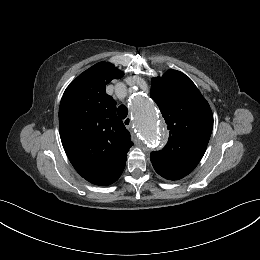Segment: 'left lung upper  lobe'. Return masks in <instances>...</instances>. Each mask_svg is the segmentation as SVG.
<instances>
[{
    "mask_svg": "<svg viewBox=\"0 0 260 260\" xmlns=\"http://www.w3.org/2000/svg\"><path fill=\"white\" fill-rule=\"evenodd\" d=\"M151 98L170 133L166 146L151 153L152 165L165 179H182L205 153L213 128L212 111L191 79L177 70L152 78Z\"/></svg>",
    "mask_w": 260,
    "mask_h": 260,
    "instance_id": "5c2ea615",
    "label": "left lung upper lobe"
}]
</instances>
